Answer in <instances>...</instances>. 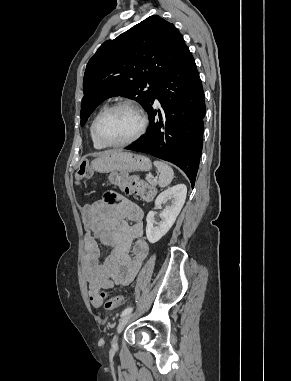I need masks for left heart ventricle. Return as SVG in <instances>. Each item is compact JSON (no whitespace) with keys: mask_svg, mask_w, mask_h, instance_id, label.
Segmentation results:
<instances>
[{"mask_svg":"<svg viewBox=\"0 0 291 381\" xmlns=\"http://www.w3.org/2000/svg\"><path fill=\"white\" fill-rule=\"evenodd\" d=\"M139 127V115L133 109L120 108L104 118L100 129L108 141L122 142L131 138Z\"/></svg>","mask_w":291,"mask_h":381,"instance_id":"1","label":"left heart ventricle"}]
</instances>
